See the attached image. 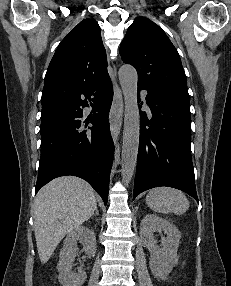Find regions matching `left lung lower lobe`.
Here are the masks:
<instances>
[{"mask_svg":"<svg viewBox=\"0 0 231 286\" xmlns=\"http://www.w3.org/2000/svg\"><path fill=\"white\" fill-rule=\"evenodd\" d=\"M148 92L152 118L140 112V140L134 182L135 197L148 189L168 186L198 201L190 152L189 98L138 85ZM141 108V106H140Z\"/></svg>","mask_w":231,"mask_h":286,"instance_id":"left-lung-lower-lobe-1","label":"left lung lower lobe"}]
</instances>
